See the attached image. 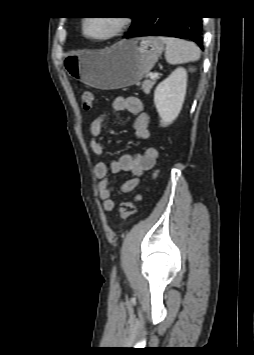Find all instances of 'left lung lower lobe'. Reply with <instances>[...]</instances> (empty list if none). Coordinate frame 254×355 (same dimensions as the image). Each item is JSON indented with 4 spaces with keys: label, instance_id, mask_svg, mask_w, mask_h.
I'll list each match as a JSON object with an SVG mask.
<instances>
[{
    "label": "left lung lower lobe",
    "instance_id": "left-lung-lower-lobe-1",
    "mask_svg": "<svg viewBox=\"0 0 254 355\" xmlns=\"http://www.w3.org/2000/svg\"><path fill=\"white\" fill-rule=\"evenodd\" d=\"M201 16L192 17H137L124 38L163 35L189 39L203 49Z\"/></svg>",
    "mask_w": 254,
    "mask_h": 355
}]
</instances>
